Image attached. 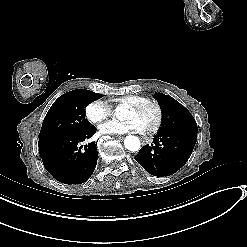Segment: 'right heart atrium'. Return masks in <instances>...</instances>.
Listing matches in <instances>:
<instances>
[{
    "mask_svg": "<svg viewBox=\"0 0 247 247\" xmlns=\"http://www.w3.org/2000/svg\"><path fill=\"white\" fill-rule=\"evenodd\" d=\"M84 113L89 122L98 124L111 115L112 107L100 99H93L85 106Z\"/></svg>",
    "mask_w": 247,
    "mask_h": 247,
    "instance_id": "obj_1",
    "label": "right heart atrium"
}]
</instances>
